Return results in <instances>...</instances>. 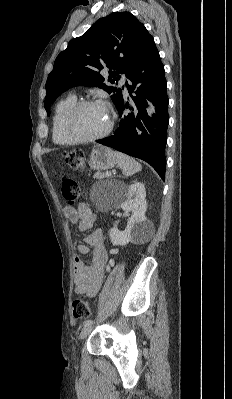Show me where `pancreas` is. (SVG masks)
Instances as JSON below:
<instances>
[{
	"label": "pancreas",
	"instance_id": "cf45deb5",
	"mask_svg": "<svg viewBox=\"0 0 232 399\" xmlns=\"http://www.w3.org/2000/svg\"><path fill=\"white\" fill-rule=\"evenodd\" d=\"M93 178H95V180H103V178H108V176H106V172H96Z\"/></svg>",
	"mask_w": 232,
	"mask_h": 399
}]
</instances>
